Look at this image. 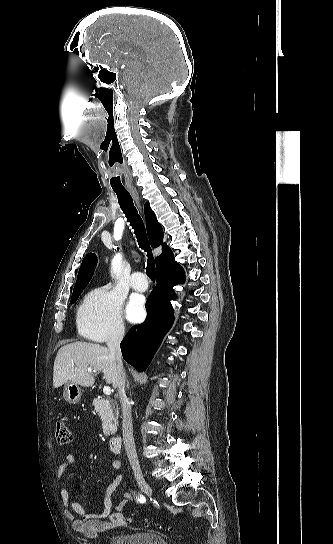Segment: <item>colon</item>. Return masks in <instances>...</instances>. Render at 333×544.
Wrapping results in <instances>:
<instances>
[{
    "label": "colon",
    "mask_w": 333,
    "mask_h": 544,
    "mask_svg": "<svg viewBox=\"0 0 333 544\" xmlns=\"http://www.w3.org/2000/svg\"><path fill=\"white\" fill-rule=\"evenodd\" d=\"M56 429H55V437L56 441L59 445H68L72 440L71 432L68 428V426L65 424V422L58 420L56 421ZM130 521H132L130 519ZM145 524H149V522H145Z\"/></svg>",
    "instance_id": "5ec220e1"
}]
</instances>
